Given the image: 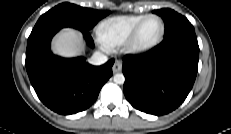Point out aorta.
<instances>
[{
  "mask_svg": "<svg viewBox=\"0 0 231 134\" xmlns=\"http://www.w3.org/2000/svg\"><path fill=\"white\" fill-rule=\"evenodd\" d=\"M113 80H114V82H115L116 84H123L124 81H125V77H124L123 74L117 73V74L114 75Z\"/></svg>",
  "mask_w": 231,
  "mask_h": 134,
  "instance_id": "obj_1",
  "label": "aorta"
}]
</instances>
